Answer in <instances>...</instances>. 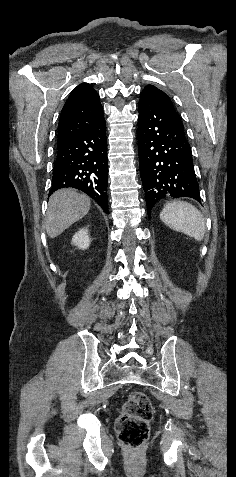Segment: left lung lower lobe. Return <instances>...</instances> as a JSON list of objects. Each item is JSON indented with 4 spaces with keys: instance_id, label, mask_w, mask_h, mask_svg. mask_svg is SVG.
<instances>
[{
    "instance_id": "0a47b994",
    "label": "left lung lower lobe",
    "mask_w": 236,
    "mask_h": 477,
    "mask_svg": "<svg viewBox=\"0 0 236 477\" xmlns=\"http://www.w3.org/2000/svg\"><path fill=\"white\" fill-rule=\"evenodd\" d=\"M138 110L140 174L149 218L154 205L165 198L190 197L200 202L192 151L183 125L152 89L144 88Z\"/></svg>"
}]
</instances>
